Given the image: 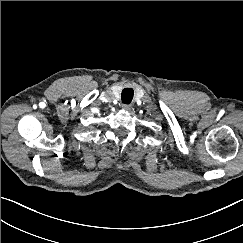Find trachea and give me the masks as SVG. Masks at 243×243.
Segmentation results:
<instances>
[{
	"label": "trachea",
	"mask_w": 243,
	"mask_h": 243,
	"mask_svg": "<svg viewBox=\"0 0 243 243\" xmlns=\"http://www.w3.org/2000/svg\"><path fill=\"white\" fill-rule=\"evenodd\" d=\"M132 98H133V89L131 88L123 89L121 94L122 102L125 104H129L132 101Z\"/></svg>",
	"instance_id": "obj_1"
}]
</instances>
